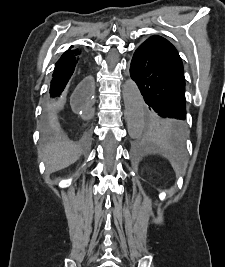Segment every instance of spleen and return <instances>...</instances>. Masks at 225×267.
Here are the masks:
<instances>
[{
    "label": "spleen",
    "instance_id": "spleen-1",
    "mask_svg": "<svg viewBox=\"0 0 225 267\" xmlns=\"http://www.w3.org/2000/svg\"><path fill=\"white\" fill-rule=\"evenodd\" d=\"M171 165H172L173 169L175 170V172H177L178 174H180V175L185 174V170L182 169L178 163L172 162Z\"/></svg>",
    "mask_w": 225,
    "mask_h": 267
}]
</instances>
